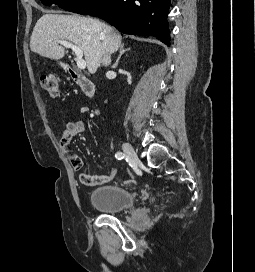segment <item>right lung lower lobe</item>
I'll return each mask as SVG.
<instances>
[{
  "instance_id": "right-lung-lower-lobe-1",
  "label": "right lung lower lobe",
  "mask_w": 255,
  "mask_h": 272,
  "mask_svg": "<svg viewBox=\"0 0 255 272\" xmlns=\"http://www.w3.org/2000/svg\"><path fill=\"white\" fill-rule=\"evenodd\" d=\"M169 7L170 0H100L88 14L125 34L154 36L169 46Z\"/></svg>"
}]
</instances>
